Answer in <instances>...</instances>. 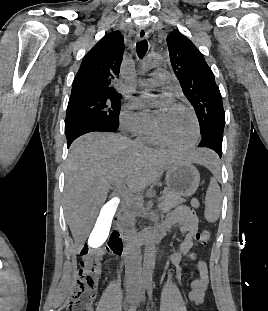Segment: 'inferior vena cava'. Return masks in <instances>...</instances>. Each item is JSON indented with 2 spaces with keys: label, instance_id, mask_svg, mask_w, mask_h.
<instances>
[{
  "label": "inferior vena cava",
  "instance_id": "obj_1",
  "mask_svg": "<svg viewBox=\"0 0 268 311\" xmlns=\"http://www.w3.org/2000/svg\"><path fill=\"white\" fill-rule=\"evenodd\" d=\"M126 229V246L127 251L124 256L125 266L127 269L135 268L133 277L127 275L128 286H138L141 277V252L136 246L137 230L135 228V219L130 214L128 216V225Z\"/></svg>",
  "mask_w": 268,
  "mask_h": 311
}]
</instances>
